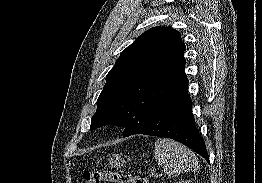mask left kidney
<instances>
[{
    "instance_id": "left-kidney-1",
    "label": "left kidney",
    "mask_w": 262,
    "mask_h": 183,
    "mask_svg": "<svg viewBox=\"0 0 262 183\" xmlns=\"http://www.w3.org/2000/svg\"><path fill=\"white\" fill-rule=\"evenodd\" d=\"M176 183H189L188 181H181V182H176Z\"/></svg>"
}]
</instances>
